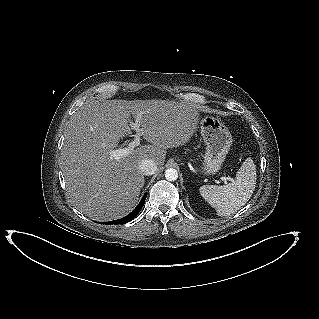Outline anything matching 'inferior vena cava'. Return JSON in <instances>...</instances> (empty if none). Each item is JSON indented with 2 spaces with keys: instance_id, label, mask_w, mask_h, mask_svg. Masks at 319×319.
Returning a JSON list of instances; mask_svg holds the SVG:
<instances>
[{
  "instance_id": "obj_1",
  "label": "inferior vena cava",
  "mask_w": 319,
  "mask_h": 319,
  "mask_svg": "<svg viewBox=\"0 0 319 319\" xmlns=\"http://www.w3.org/2000/svg\"><path fill=\"white\" fill-rule=\"evenodd\" d=\"M139 169L144 175H153L157 171V166L153 160L144 159L139 164Z\"/></svg>"
}]
</instances>
